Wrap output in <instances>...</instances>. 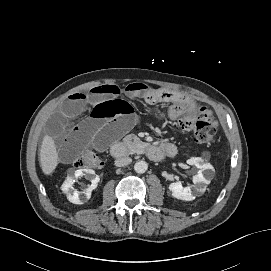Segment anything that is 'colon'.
<instances>
[{"mask_svg": "<svg viewBox=\"0 0 271 271\" xmlns=\"http://www.w3.org/2000/svg\"><path fill=\"white\" fill-rule=\"evenodd\" d=\"M178 125L184 130L194 131V140L200 145H210L215 138V127L210 111L201 107L187 112L178 120ZM78 168H101L103 157L94 150L85 151L75 162Z\"/></svg>", "mask_w": 271, "mask_h": 271, "instance_id": "1", "label": "colon"}]
</instances>
